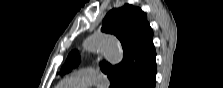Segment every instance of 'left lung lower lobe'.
<instances>
[{
    "label": "left lung lower lobe",
    "instance_id": "left-lung-lower-lobe-1",
    "mask_svg": "<svg viewBox=\"0 0 223 88\" xmlns=\"http://www.w3.org/2000/svg\"><path fill=\"white\" fill-rule=\"evenodd\" d=\"M156 62L155 59L141 72L132 73L123 81L111 88H155Z\"/></svg>",
    "mask_w": 223,
    "mask_h": 88
}]
</instances>
